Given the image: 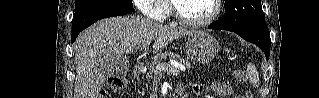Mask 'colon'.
Instances as JSON below:
<instances>
[{
	"label": "colon",
	"mask_w": 319,
	"mask_h": 98,
	"mask_svg": "<svg viewBox=\"0 0 319 98\" xmlns=\"http://www.w3.org/2000/svg\"><path fill=\"white\" fill-rule=\"evenodd\" d=\"M234 77L237 80H242L244 77V74L240 71L234 73ZM127 86V78L122 75H115L111 76L108 79V87L109 89L107 91H104L99 98H112L113 94L117 92L123 91ZM123 98H127V94L122 95Z\"/></svg>",
	"instance_id": "obj_1"
}]
</instances>
